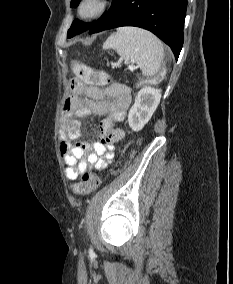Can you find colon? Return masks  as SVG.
Masks as SVG:
<instances>
[{"label":"colon","mask_w":233,"mask_h":284,"mask_svg":"<svg viewBox=\"0 0 233 284\" xmlns=\"http://www.w3.org/2000/svg\"><path fill=\"white\" fill-rule=\"evenodd\" d=\"M73 71L75 75L82 81L89 84L106 85L109 82V75L104 71L93 70L79 61H73ZM167 69L162 67L155 75L152 84L160 83L166 76ZM100 185V179L97 175L85 170L80 180L72 185V191L75 194L83 195L95 191Z\"/></svg>","instance_id":"obj_1"}]
</instances>
